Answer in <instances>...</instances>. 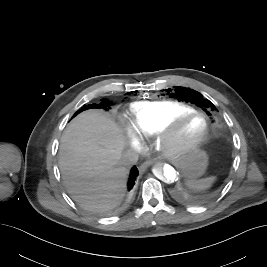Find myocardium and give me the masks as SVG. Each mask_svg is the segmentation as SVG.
<instances>
[{
	"label": "myocardium",
	"instance_id": "1",
	"mask_svg": "<svg viewBox=\"0 0 267 267\" xmlns=\"http://www.w3.org/2000/svg\"><path fill=\"white\" fill-rule=\"evenodd\" d=\"M196 116L204 121L202 132L191 140H179L176 136L179 126ZM209 131L210 123L207 115L198 110L189 111L164 123L155 134V145L164 155L176 157L197 149L207 139Z\"/></svg>",
	"mask_w": 267,
	"mask_h": 267
}]
</instances>
